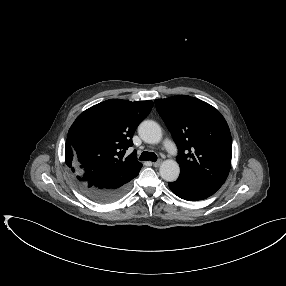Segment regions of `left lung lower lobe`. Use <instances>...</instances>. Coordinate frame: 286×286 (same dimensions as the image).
<instances>
[{
  "label": "left lung lower lobe",
  "mask_w": 286,
  "mask_h": 286,
  "mask_svg": "<svg viewBox=\"0 0 286 286\" xmlns=\"http://www.w3.org/2000/svg\"><path fill=\"white\" fill-rule=\"evenodd\" d=\"M170 189L180 198L188 201L203 200L213 195L221 186L180 173L175 182L169 183Z\"/></svg>",
  "instance_id": "obj_1"
}]
</instances>
